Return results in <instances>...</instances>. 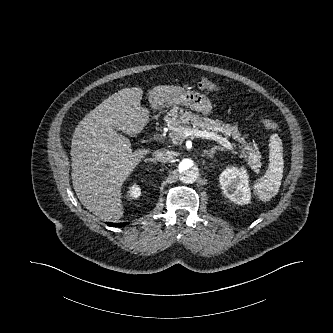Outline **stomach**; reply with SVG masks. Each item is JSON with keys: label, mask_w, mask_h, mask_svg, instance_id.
<instances>
[{"label": "stomach", "mask_w": 333, "mask_h": 333, "mask_svg": "<svg viewBox=\"0 0 333 333\" xmlns=\"http://www.w3.org/2000/svg\"><path fill=\"white\" fill-rule=\"evenodd\" d=\"M176 105L186 106L204 115L209 114L212 110V104L209 98L195 91H183L178 96L167 99L162 107H172Z\"/></svg>", "instance_id": "stomach-1"}]
</instances>
